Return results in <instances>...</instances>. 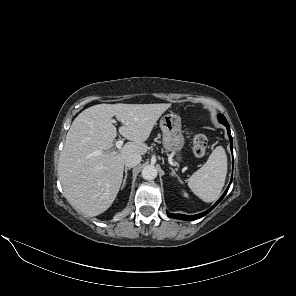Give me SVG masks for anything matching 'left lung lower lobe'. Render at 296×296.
I'll use <instances>...</instances> for the list:
<instances>
[{
  "mask_svg": "<svg viewBox=\"0 0 296 296\" xmlns=\"http://www.w3.org/2000/svg\"><path fill=\"white\" fill-rule=\"evenodd\" d=\"M220 122L227 127L228 136H229V139H230V148H231V151L233 153L232 136H231V133H230L229 124H228L227 120H222ZM231 182H232V179H231ZM231 182H230V184H231ZM230 184H229L227 190L225 191V193L221 196V198L210 209H208L205 212H202V213L197 214V215H183V214H173V213H169L167 211V214H168L169 217H172V218H175V219L186 220V221H193V220L199 219V218L205 216L206 214H208L223 199V197L226 195V193H227V191H228V189L230 187Z\"/></svg>",
  "mask_w": 296,
  "mask_h": 296,
  "instance_id": "1",
  "label": "left lung lower lobe"
}]
</instances>
